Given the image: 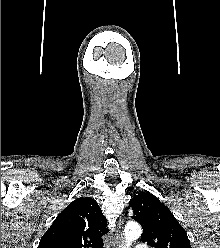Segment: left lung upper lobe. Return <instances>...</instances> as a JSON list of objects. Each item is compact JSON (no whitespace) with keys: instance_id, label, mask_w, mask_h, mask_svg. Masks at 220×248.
Masks as SVG:
<instances>
[{"instance_id":"left-lung-upper-lobe-1","label":"left lung upper lobe","mask_w":220,"mask_h":248,"mask_svg":"<svg viewBox=\"0 0 220 248\" xmlns=\"http://www.w3.org/2000/svg\"><path fill=\"white\" fill-rule=\"evenodd\" d=\"M132 219L142 225L141 240L155 248H191L186 231L168 207L149 192H141L130 200Z\"/></svg>"}]
</instances>
